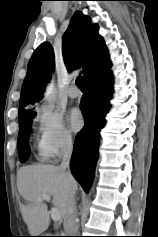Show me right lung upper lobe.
I'll return each instance as SVG.
<instances>
[{"label":"right lung upper lobe","mask_w":158,"mask_h":237,"mask_svg":"<svg viewBox=\"0 0 158 237\" xmlns=\"http://www.w3.org/2000/svg\"><path fill=\"white\" fill-rule=\"evenodd\" d=\"M62 53L69 70L84 66L87 81L111 66L107 48L98 34V26L80 11L73 15L63 35ZM54 69V53L50 43L37 47L28 63L20 97L19 118L35 115L26 107L43 97L45 84Z\"/></svg>","instance_id":"cb5924a9"}]
</instances>
